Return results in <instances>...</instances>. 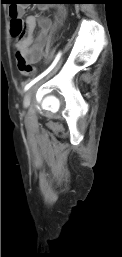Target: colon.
<instances>
[{"label":"colon","instance_id":"colon-1","mask_svg":"<svg viewBox=\"0 0 122 257\" xmlns=\"http://www.w3.org/2000/svg\"><path fill=\"white\" fill-rule=\"evenodd\" d=\"M11 18V34L15 38H21L25 32V23L20 17L19 10H27V5H7ZM17 68L24 76H30L35 68L19 52L16 54Z\"/></svg>","mask_w":122,"mask_h":257}]
</instances>
